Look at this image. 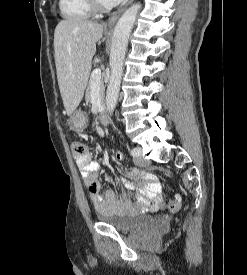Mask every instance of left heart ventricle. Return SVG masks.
I'll use <instances>...</instances> for the list:
<instances>
[{"mask_svg": "<svg viewBox=\"0 0 247 275\" xmlns=\"http://www.w3.org/2000/svg\"><path fill=\"white\" fill-rule=\"evenodd\" d=\"M101 1H103L104 3H107V4L109 3V1H108V0H101Z\"/></svg>", "mask_w": 247, "mask_h": 275, "instance_id": "b2bd125f", "label": "left heart ventricle"}]
</instances>
